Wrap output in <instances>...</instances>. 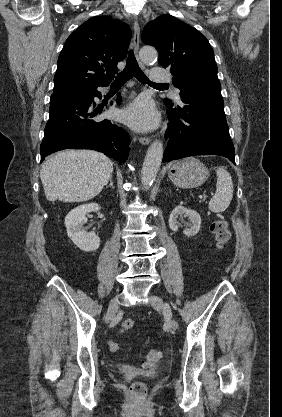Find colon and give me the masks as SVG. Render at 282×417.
Listing matches in <instances>:
<instances>
[{
  "label": "colon",
  "mask_w": 282,
  "mask_h": 417,
  "mask_svg": "<svg viewBox=\"0 0 282 417\" xmlns=\"http://www.w3.org/2000/svg\"><path fill=\"white\" fill-rule=\"evenodd\" d=\"M211 232L214 235L217 245L220 247L225 246L230 239L228 230V224L224 220H216L211 224ZM135 326V322L131 318L123 320L118 332L123 333L128 330H132ZM120 348L119 343L116 340H111L109 343V349L112 353L118 352ZM162 358V353L158 349H150L144 357L145 367H154ZM130 402L131 403H148L149 402V385L144 384L143 379H134L132 389L130 390Z\"/></svg>",
  "instance_id": "5ec220e1"
}]
</instances>
